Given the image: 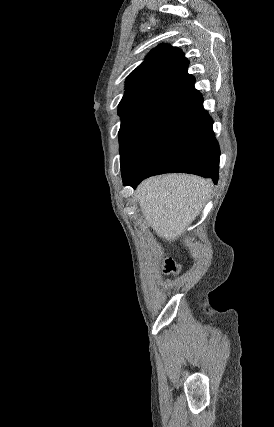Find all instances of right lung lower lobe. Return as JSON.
Wrapping results in <instances>:
<instances>
[{
    "mask_svg": "<svg viewBox=\"0 0 274 427\" xmlns=\"http://www.w3.org/2000/svg\"><path fill=\"white\" fill-rule=\"evenodd\" d=\"M200 93L172 108L140 158L121 167L124 185L136 187L143 179L162 173H191L218 181L220 150L213 121Z\"/></svg>",
    "mask_w": 274,
    "mask_h": 427,
    "instance_id": "1",
    "label": "right lung lower lobe"
}]
</instances>
